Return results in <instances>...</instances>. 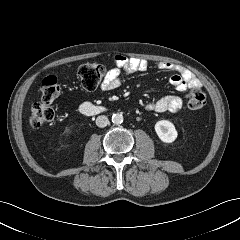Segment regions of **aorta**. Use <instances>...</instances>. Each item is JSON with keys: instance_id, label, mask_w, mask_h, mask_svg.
<instances>
[{"instance_id": "aorta-1", "label": "aorta", "mask_w": 240, "mask_h": 240, "mask_svg": "<svg viewBox=\"0 0 240 240\" xmlns=\"http://www.w3.org/2000/svg\"><path fill=\"white\" fill-rule=\"evenodd\" d=\"M112 122L115 125H119L123 122V115L120 113H115L112 115Z\"/></svg>"}]
</instances>
